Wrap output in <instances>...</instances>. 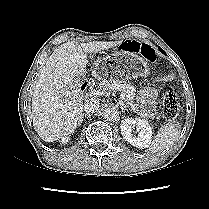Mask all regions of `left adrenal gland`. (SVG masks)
<instances>
[{"instance_id": "a2214340", "label": "left adrenal gland", "mask_w": 209, "mask_h": 209, "mask_svg": "<svg viewBox=\"0 0 209 209\" xmlns=\"http://www.w3.org/2000/svg\"><path fill=\"white\" fill-rule=\"evenodd\" d=\"M120 105H121L122 111H125V109H126L127 106L124 104L123 101H120Z\"/></svg>"}]
</instances>
